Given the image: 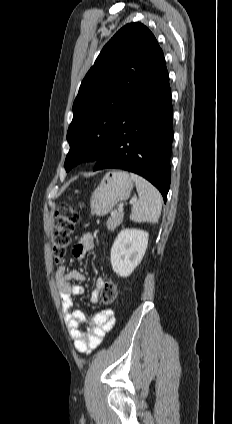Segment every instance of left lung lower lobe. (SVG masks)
Masks as SVG:
<instances>
[{
    "label": "left lung lower lobe",
    "mask_w": 232,
    "mask_h": 424,
    "mask_svg": "<svg viewBox=\"0 0 232 424\" xmlns=\"http://www.w3.org/2000/svg\"><path fill=\"white\" fill-rule=\"evenodd\" d=\"M173 110L163 58L131 98L104 143L94 171L118 168L134 172L161 192L170 187Z\"/></svg>",
    "instance_id": "left-lung-lower-lobe-1"
}]
</instances>
